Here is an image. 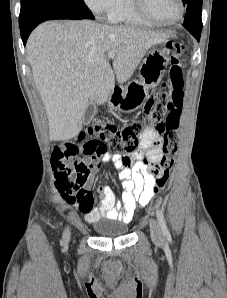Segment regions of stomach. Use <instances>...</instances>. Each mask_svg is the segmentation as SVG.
<instances>
[{"label":"stomach","instance_id":"stomach-1","mask_svg":"<svg viewBox=\"0 0 227 298\" xmlns=\"http://www.w3.org/2000/svg\"><path fill=\"white\" fill-rule=\"evenodd\" d=\"M169 62L163 49L152 48L139 67V79L126 87L114 88L108 97L110 108L122 113L136 111L148 98L149 90L156 87L164 75Z\"/></svg>","mask_w":227,"mask_h":298}]
</instances>
